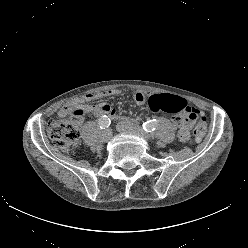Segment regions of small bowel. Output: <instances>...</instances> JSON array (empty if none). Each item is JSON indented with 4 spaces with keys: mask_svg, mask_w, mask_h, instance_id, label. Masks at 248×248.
<instances>
[{
    "mask_svg": "<svg viewBox=\"0 0 248 248\" xmlns=\"http://www.w3.org/2000/svg\"><path fill=\"white\" fill-rule=\"evenodd\" d=\"M119 91L115 89H110L107 91H103L97 94L89 93L81 96L80 98L74 99L64 106H62L58 111L59 117H66L70 115L73 110L77 107H80L82 103H87L93 101L99 97H106V96H115L118 95ZM148 94L144 91H138L134 94L133 100L137 105H142L146 102ZM85 108V113H91L94 115H106L109 119H114L119 117L115 111L109 104L101 103L96 106H83ZM122 119L127 120L126 118L122 117ZM172 122L177 125L180 129L176 132V137L180 140V142H186L190 137L189 128L191 127V121L185 117L176 115L172 117ZM76 123L78 125L82 124V117L76 118Z\"/></svg>",
    "mask_w": 248,
    "mask_h": 248,
    "instance_id": "1",
    "label": "small bowel"
}]
</instances>
